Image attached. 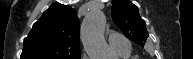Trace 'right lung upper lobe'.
<instances>
[{"label": "right lung upper lobe", "mask_w": 193, "mask_h": 59, "mask_svg": "<svg viewBox=\"0 0 193 59\" xmlns=\"http://www.w3.org/2000/svg\"><path fill=\"white\" fill-rule=\"evenodd\" d=\"M79 19L68 5L53 3L33 25L21 59H80Z\"/></svg>", "instance_id": "1"}]
</instances>
